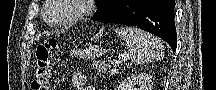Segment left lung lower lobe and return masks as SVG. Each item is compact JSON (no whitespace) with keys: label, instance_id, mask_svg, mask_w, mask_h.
Returning <instances> with one entry per match:
<instances>
[{"label":"left lung lower lobe","instance_id":"obj_1","mask_svg":"<svg viewBox=\"0 0 216 90\" xmlns=\"http://www.w3.org/2000/svg\"><path fill=\"white\" fill-rule=\"evenodd\" d=\"M174 0H121L92 20L136 26L164 39L176 51Z\"/></svg>","mask_w":216,"mask_h":90}]
</instances>
